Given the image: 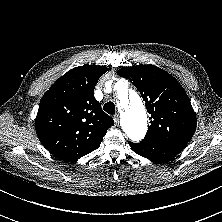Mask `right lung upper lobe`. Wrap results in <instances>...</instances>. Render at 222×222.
<instances>
[{
    "label": "right lung upper lobe",
    "instance_id": "cb5924a9",
    "mask_svg": "<svg viewBox=\"0 0 222 222\" xmlns=\"http://www.w3.org/2000/svg\"><path fill=\"white\" fill-rule=\"evenodd\" d=\"M107 71V67L88 64L73 68L42 97L36 133L44 147L59 159L76 161L96 150L114 125L93 94Z\"/></svg>",
    "mask_w": 222,
    "mask_h": 222
}]
</instances>
